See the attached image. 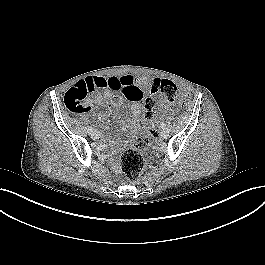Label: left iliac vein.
I'll list each match as a JSON object with an SVG mask.
<instances>
[{"mask_svg":"<svg viewBox=\"0 0 265 265\" xmlns=\"http://www.w3.org/2000/svg\"><path fill=\"white\" fill-rule=\"evenodd\" d=\"M168 135H169V131H168V129H162L161 130V132H160V136L162 137V138H167L168 137Z\"/></svg>","mask_w":265,"mask_h":265,"instance_id":"left-iliac-vein-1","label":"left iliac vein"}]
</instances>
